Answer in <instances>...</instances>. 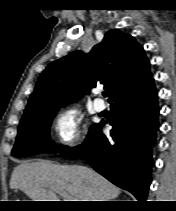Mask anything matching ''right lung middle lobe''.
Returning a JSON list of instances; mask_svg holds the SVG:
<instances>
[{"label": "right lung middle lobe", "mask_w": 176, "mask_h": 211, "mask_svg": "<svg viewBox=\"0 0 176 211\" xmlns=\"http://www.w3.org/2000/svg\"><path fill=\"white\" fill-rule=\"evenodd\" d=\"M57 110V108L47 109L22 118L12 155L23 157L40 153H58L65 150L66 147L56 145L50 140V124Z\"/></svg>", "instance_id": "dd1d6c3e"}]
</instances>
